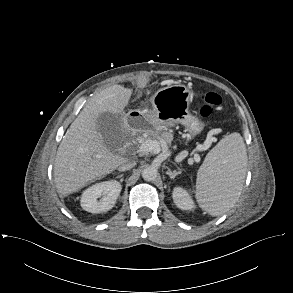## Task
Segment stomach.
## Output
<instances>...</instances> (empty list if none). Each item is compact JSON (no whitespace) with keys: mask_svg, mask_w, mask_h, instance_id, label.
<instances>
[{"mask_svg":"<svg viewBox=\"0 0 293 293\" xmlns=\"http://www.w3.org/2000/svg\"><path fill=\"white\" fill-rule=\"evenodd\" d=\"M194 93L183 84H173L158 90L152 97V110H137L154 129L161 130L176 123L184 125L190 136L199 134L204 124L191 115L189 106Z\"/></svg>","mask_w":293,"mask_h":293,"instance_id":"stomach-1","label":"stomach"}]
</instances>
